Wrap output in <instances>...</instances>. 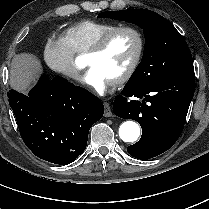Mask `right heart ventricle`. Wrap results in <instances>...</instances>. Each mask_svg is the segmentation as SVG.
I'll use <instances>...</instances> for the list:
<instances>
[{"label":"right heart ventricle","mask_w":209,"mask_h":209,"mask_svg":"<svg viewBox=\"0 0 209 209\" xmlns=\"http://www.w3.org/2000/svg\"><path fill=\"white\" fill-rule=\"evenodd\" d=\"M117 26L119 24L109 21L83 20L68 26L63 36L75 53L85 54L105 33Z\"/></svg>","instance_id":"e07e8e85"}]
</instances>
